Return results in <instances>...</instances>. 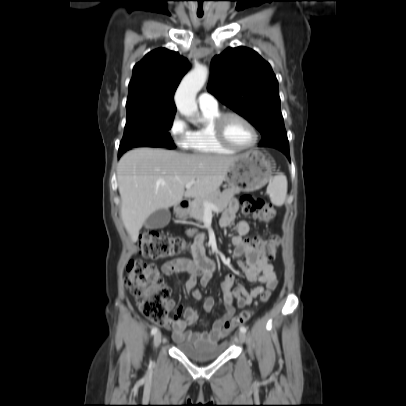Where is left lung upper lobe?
I'll use <instances>...</instances> for the list:
<instances>
[{
    "instance_id": "5c2ea615",
    "label": "left lung upper lobe",
    "mask_w": 406,
    "mask_h": 406,
    "mask_svg": "<svg viewBox=\"0 0 406 406\" xmlns=\"http://www.w3.org/2000/svg\"><path fill=\"white\" fill-rule=\"evenodd\" d=\"M207 90L260 131V146L289 148L278 82L257 52L240 46L215 56Z\"/></svg>"
}]
</instances>
